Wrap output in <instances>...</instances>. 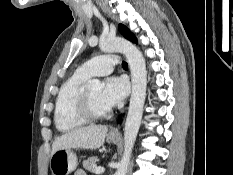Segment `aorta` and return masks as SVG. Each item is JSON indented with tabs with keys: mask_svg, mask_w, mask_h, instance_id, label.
Listing matches in <instances>:
<instances>
[{
	"mask_svg": "<svg viewBox=\"0 0 233 175\" xmlns=\"http://www.w3.org/2000/svg\"><path fill=\"white\" fill-rule=\"evenodd\" d=\"M99 48L104 53L120 52L125 55L132 80V94L124 128V153L115 175H126L132 149L141 124L143 106L146 97L147 71L145 60L139 49L123 38L104 39L99 42ZM90 89H101L99 80L87 82Z\"/></svg>",
	"mask_w": 233,
	"mask_h": 175,
	"instance_id": "762f6f07",
	"label": "aorta"
}]
</instances>
